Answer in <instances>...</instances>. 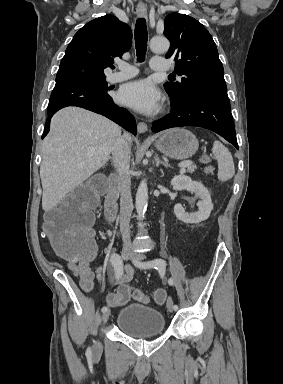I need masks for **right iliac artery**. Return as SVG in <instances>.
I'll return each mask as SVG.
<instances>
[{"instance_id": "82829eb1", "label": "right iliac artery", "mask_w": 283, "mask_h": 384, "mask_svg": "<svg viewBox=\"0 0 283 384\" xmlns=\"http://www.w3.org/2000/svg\"><path fill=\"white\" fill-rule=\"evenodd\" d=\"M110 262H111L112 266L114 267L116 276L117 277L121 276L123 274V262H122L120 256L116 253H113L110 257ZM107 309L108 308L106 306H104V307H102L101 310H102V312H105V311H107ZM91 354H92L91 348L88 347L86 350V355L88 357H90Z\"/></svg>"}]
</instances>
